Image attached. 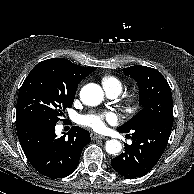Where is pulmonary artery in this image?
<instances>
[{"instance_id":"1","label":"pulmonary artery","mask_w":194,"mask_h":194,"mask_svg":"<svg viewBox=\"0 0 194 194\" xmlns=\"http://www.w3.org/2000/svg\"><path fill=\"white\" fill-rule=\"evenodd\" d=\"M108 96H109L110 98H116L118 95H117V94H108Z\"/></svg>"}]
</instances>
